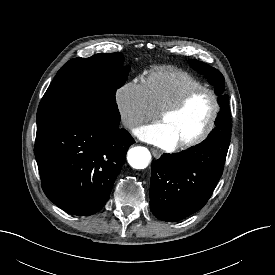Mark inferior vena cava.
<instances>
[{"instance_id":"1","label":"inferior vena cava","mask_w":275,"mask_h":275,"mask_svg":"<svg viewBox=\"0 0 275 275\" xmlns=\"http://www.w3.org/2000/svg\"><path fill=\"white\" fill-rule=\"evenodd\" d=\"M123 123L126 127H133L137 125L139 122L137 120L131 119V118H126L123 120Z\"/></svg>"}]
</instances>
